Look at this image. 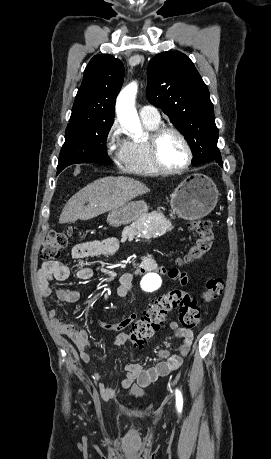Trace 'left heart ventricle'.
Listing matches in <instances>:
<instances>
[{
  "instance_id": "1",
  "label": "left heart ventricle",
  "mask_w": 271,
  "mask_h": 459,
  "mask_svg": "<svg viewBox=\"0 0 271 459\" xmlns=\"http://www.w3.org/2000/svg\"><path fill=\"white\" fill-rule=\"evenodd\" d=\"M160 154L165 164L180 166L188 158V151L184 141L175 133H167L160 142Z\"/></svg>"
}]
</instances>
